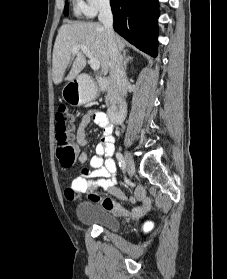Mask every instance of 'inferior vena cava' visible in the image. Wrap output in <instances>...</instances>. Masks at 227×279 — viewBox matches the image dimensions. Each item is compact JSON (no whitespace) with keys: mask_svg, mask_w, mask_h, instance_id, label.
Here are the masks:
<instances>
[{"mask_svg":"<svg viewBox=\"0 0 227 279\" xmlns=\"http://www.w3.org/2000/svg\"><path fill=\"white\" fill-rule=\"evenodd\" d=\"M99 21L103 24L108 39V48L110 53L109 70L110 77L114 83L120 97H126L129 86L126 72L123 66V59L115 42L113 30V15L109 0H103L100 5L98 15Z\"/></svg>","mask_w":227,"mask_h":279,"instance_id":"1","label":"inferior vena cava"}]
</instances>
